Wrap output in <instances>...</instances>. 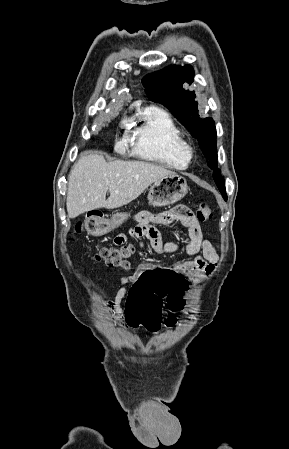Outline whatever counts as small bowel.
I'll list each match as a JSON object with an SVG mask.
<instances>
[{"label":"small bowel","instance_id":"1","mask_svg":"<svg viewBox=\"0 0 289 449\" xmlns=\"http://www.w3.org/2000/svg\"><path fill=\"white\" fill-rule=\"evenodd\" d=\"M182 222L188 229L189 240L185 246L187 258L176 262L172 268L180 271L181 276L198 284L208 274H210L218 261V254L212 243L203 238L202 231L197 220L192 216L185 206H177L173 209L161 213L142 211L136 216L137 224L126 233H120L114 238L115 245L125 244L128 237L146 238L153 251L161 255H169L178 251L179 246L175 242H163L162 237L155 225H170L175 222ZM126 271V275L119 279V289L113 300L107 305L112 315L113 321L118 325H129L124 311L121 307L122 300L133 289V282L140 276L145 268H158L151 263H143L134 271L131 270L130 263L125 260L118 265Z\"/></svg>","mask_w":289,"mask_h":449}]
</instances>
